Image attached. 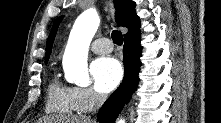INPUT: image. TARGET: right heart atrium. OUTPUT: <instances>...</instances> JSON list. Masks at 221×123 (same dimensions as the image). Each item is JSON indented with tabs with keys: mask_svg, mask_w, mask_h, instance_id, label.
<instances>
[{
	"mask_svg": "<svg viewBox=\"0 0 221 123\" xmlns=\"http://www.w3.org/2000/svg\"><path fill=\"white\" fill-rule=\"evenodd\" d=\"M72 97L75 108L80 113L94 109L105 100V95L93 87H74Z\"/></svg>",
	"mask_w": 221,
	"mask_h": 123,
	"instance_id": "right-heart-atrium-1",
	"label": "right heart atrium"
}]
</instances>
